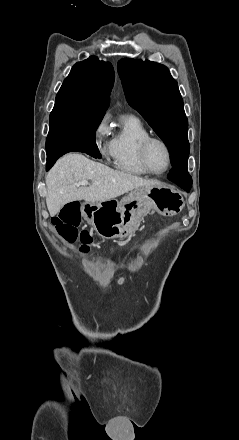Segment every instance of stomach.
<instances>
[{
    "label": "stomach",
    "instance_id": "1",
    "mask_svg": "<svg viewBox=\"0 0 239 440\" xmlns=\"http://www.w3.org/2000/svg\"><path fill=\"white\" fill-rule=\"evenodd\" d=\"M185 206L183 196L165 188H136L130 190L120 202L112 198L106 202H84L81 216L105 240L128 238L140 226L144 216L155 210L161 216H176Z\"/></svg>",
    "mask_w": 239,
    "mask_h": 440
}]
</instances>
